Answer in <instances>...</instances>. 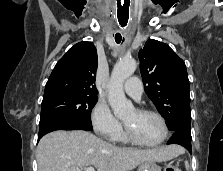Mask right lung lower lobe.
Masks as SVG:
<instances>
[{
  "label": "right lung lower lobe",
  "mask_w": 223,
  "mask_h": 171,
  "mask_svg": "<svg viewBox=\"0 0 223 171\" xmlns=\"http://www.w3.org/2000/svg\"><path fill=\"white\" fill-rule=\"evenodd\" d=\"M55 130H86L92 131V125L85 124L79 120L71 118H62L52 120L39 126L38 141L45 134L55 131Z\"/></svg>",
  "instance_id": "obj_1"
}]
</instances>
